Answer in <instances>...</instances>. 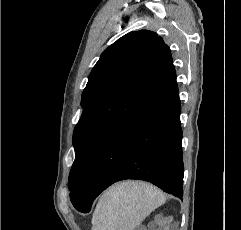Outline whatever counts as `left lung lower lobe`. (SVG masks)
Returning a JSON list of instances; mask_svg holds the SVG:
<instances>
[{"label": "left lung lower lobe", "mask_w": 241, "mask_h": 230, "mask_svg": "<svg viewBox=\"0 0 241 230\" xmlns=\"http://www.w3.org/2000/svg\"><path fill=\"white\" fill-rule=\"evenodd\" d=\"M181 105L176 74L97 155L74 207L83 213L111 184L124 179L153 183L176 197L183 196Z\"/></svg>", "instance_id": "1"}]
</instances>
